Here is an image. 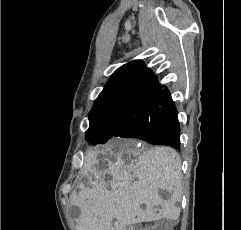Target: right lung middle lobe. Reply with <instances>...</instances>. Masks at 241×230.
I'll return each mask as SVG.
<instances>
[{
  "instance_id": "dd1d6c3e",
  "label": "right lung middle lobe",
  "mask_w": 241,
  "mask_h": 230,
  "mask_svg": "<svg viewBox=\"0 0 241 230\" xmlns=\"http://www.w3.org/2000/svg\"><path fill=\"white\" fill-rule=\"evenodd\" d=\"M147 105L135 111H111L104 114L90 126L85 133L86 141L92 145L104 144L115 137L134 138L135 131L145 123L144 112ZM132 131V132H131Z\"/></svg>"
}]
</instances>
